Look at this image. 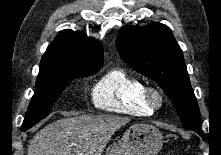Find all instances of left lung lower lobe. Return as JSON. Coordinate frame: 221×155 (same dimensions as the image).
<instances>
[{"mask_svg":"<svg viewBox=\"0 0 221 155\" xmlns=\"http://www.w3.org/2000/svg\"><path fill=\"white\" fill-rule=\"evenodd\" d=\"M195 132H197L204 139V134L202 130H196Z\"/></svg>","mask_w":221,"mask_h":155,"instance_id":"left-lung-lower-lobe-1","label":"left lung lower lobe"}]
</instances>
